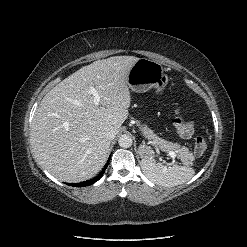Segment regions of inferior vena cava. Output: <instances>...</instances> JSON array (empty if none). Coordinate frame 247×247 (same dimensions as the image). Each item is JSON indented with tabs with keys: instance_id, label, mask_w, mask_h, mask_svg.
I'll use <instances>...</instances> for the list:
<instances>
[{
	"instance_id": "obj_1",
	"label": "inferior vena cava",
	"mask_w": 247,
	"mask_h": 247,
	"mask_svg": "<svg viewBox=\"0 0 247 247\" xmlns=\"http://www.w3.org/2000/svg\"><path fill=\"white\" fill-rule=\"evenodd\" d=\"M104 136L108 140H113L116 136V132L112 127H109L104 131Z\"/></svg>"
}]
</instances>
